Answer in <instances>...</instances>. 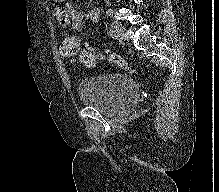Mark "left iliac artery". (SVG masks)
Instances as JSON below:
<instances>
[{
	"label": "left iliac artery",
	"mask_w": 219,
	"mask_h": 192,
	"mask_svg": "<svg viewBox=\"0 0 219 192\" xmlns=\"http://www.w3.org/2000/svg\"><path fill=\"white\" fill-rule=\"evenodd\" d=\"M109 35L112 36L113 38H115V33H114L113 30H110V31H109Z\"/></svg>",
	"instance_id": "left-iliac-artery-1"
}]
</instances>
